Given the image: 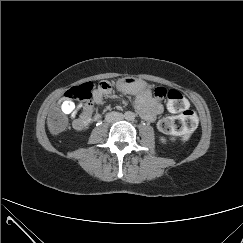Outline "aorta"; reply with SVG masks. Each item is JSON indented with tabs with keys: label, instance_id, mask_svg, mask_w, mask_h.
<instances>
[{
	"label": "aorta",
	"instance_id": "762f6f07",
	"mask_svg": "<svg viewBox=\"0 0 243 243\" xmlns=\"http://www.w3.org/2000/svg\"><path fill=\"white\" fill-rule=\"evenodd\" d=\"M126 118L129 120L134 119V114L133 113H127Z\"/></svg>",
	"mask_w": 243,
	"mask_h": 243
}]
</instances>
